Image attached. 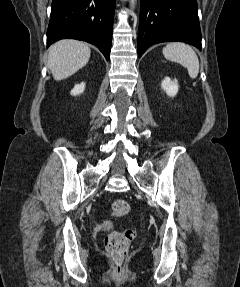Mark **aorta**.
I'll return each mask as SVG.
<instances>
[{"instance_id": "obj_1", "label": "aorta", "mask_w": 240, "mask_h": 287, "mask_svg": "<svg viewBox=\"0 0 240 287\" xmlns=\"http://www.w3.org/2000/svg\"><path fill=\"white\" fill-rule=\"evenodd\" d=\"M136 0H130V6L133 9L135 7Z\"/></svg>"}]
</instances>
